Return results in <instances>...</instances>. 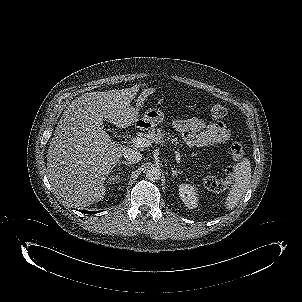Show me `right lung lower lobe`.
I'll return each mask as SVG.
<instances>
[{"label":"right lung lower lobe","instance_id":"right-lung-lower-lobe-1","mask_svg":"<svg viewBox=\"0 0 302 302\" xmlns=\"http://www.w3.org/2000/svg\"><path fill=\"white\" fill-rule=\"evenodd\" d=\"M81 212L86 213V214H95L96 213V211H83V210H81Z\"/></svg>","mask_w":302,"mask_h":302}]
</instances>
